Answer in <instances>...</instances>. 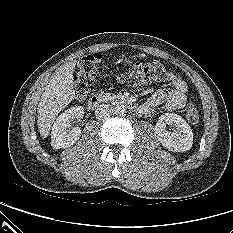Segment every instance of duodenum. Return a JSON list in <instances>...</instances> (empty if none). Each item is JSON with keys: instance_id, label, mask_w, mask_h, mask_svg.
Segmentation results:
<instances>
[{"instance_id": "duodenum-1", "label": "duodenum", "mask_w": 233, "mask_h": 233, "mask_svg": "<svg viewBox=\"0 0 233 233\" xmlns=\"http://www.w3.org/2000/svg\"><path fill=\"white\" fill-rule=\"evenodd\" d=\"M115 102L118 105H123L129 109H131L132 111H134L137 114H144L145 113V108L143 106H140L138 104H136L135 102L126 99V98H117L115 99ZM104 101L102 98H100L99 96H92L90 97V99L87 102V107L89 110H98L102 105H103Z\"/></svg>"}]
</instances>
